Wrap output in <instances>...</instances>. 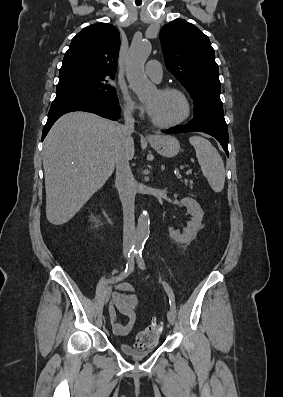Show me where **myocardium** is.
I'll return each instance as SVG.
<instances>
[{
    "instance_id": "myocardium-1",
    "label": "myocardium",
    "mask_w": 283,
    "mask_h": 397,
    "mask_svg": "<svg viewBox=\"0 0 283 397\" xmlns=\"http://www.w3.org/2000/svg\"><path fill=\"white\" fill-rule=\"evenodd\" d=\"M158 91L161 93H174V94L179 95L184 102L185 111L181 117H179L176 120L170 121V122L157 121L154 118H152L150 115L151 122L155 126L160 127V128H172V127H176V126L182 124L183 122H185L191 115V111H192V105H191L190 99L187 96V94L183 90H181L177 87H174V86H163V87H160L158 89Z\"/></svg>"
}]
</instances>
